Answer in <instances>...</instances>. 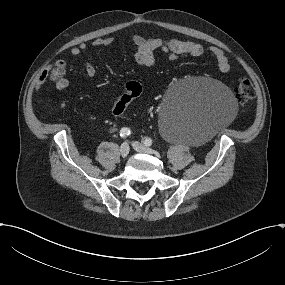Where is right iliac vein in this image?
I'll return each mask as SVG.
<instances>
[{"mask_svg": "<svg viewBox=\"0 0 285 285\" xmlns=\"http://www.w3.org/2000/svg\"><path fill=\"white\" fill-rule=\"evenodd\" d=\"M129 151H130L129 145L127 143H123L121 145V147H120V154H121V156L124 157V158L127 157L128 154H129Z\"/></svg>", "mask_w": 285, "mask_h": 285, "instance_id": "1", "label": "right iliac vein"}]
</instances>
